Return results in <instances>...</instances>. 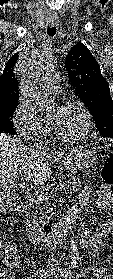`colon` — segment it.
Wrapping results in <instances>:
<instances>
[{
  "mask_svg": "<svg viewBox=\"0 0 113 279\" xmlns=\"http://www.w3.org/2000/svg\"><path fill=\"white\" fill-rule=\"evenodd\" d=\"M101 187L109 194H113V146L107 149L106 162L100 169ZM19 254L16 250H6L0 246V277L5 272L6 266L11 265Z\"/></svg>",
  "mask_w": 113,
  "mask_h": 279,
  "instance_id": "5ec220e1",
  "label": "colon"
}]
</instances>
